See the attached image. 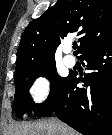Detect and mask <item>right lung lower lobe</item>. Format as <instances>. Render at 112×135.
<instances>
[{"label": "right lung lower lobe", "instance_id": "obj_1", "mask_svg": "<svg viewBox=\"0 0 112 135\" xmlns=\"http://www.w3.org/2000/svg\"><path fill=\"white\" fill-rule=\"evenodd\" d=\"M90 73L83 79L70 74L53 101L37 114L57 117L84 135L112 132V40L90 48L80 56ZM82 81L84 88H78Z\"/></svg>", "mask_w": 112, "mask_h": 135}]
</instances>
